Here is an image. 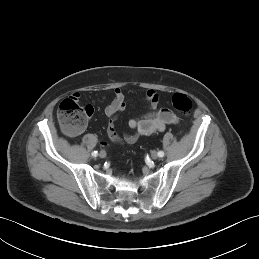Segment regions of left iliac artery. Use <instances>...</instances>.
<instances>
[{"label": "left iliac artery", "mask_w": 259, "mask_h": 259, "mask_svg": "<svg viewBox=\"0 0 259 259\" xmlns=\"http://www.w3.org/2000/svg\"><path fill=\"white\" fill-rule=\"evenodd\" d=\"M158 156H159V157H163V156H164V152H163V151H159V152H158Z\"/></svg>", "instance_id": "left-iliac-artery-1"}]
</instances>
